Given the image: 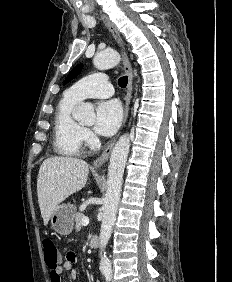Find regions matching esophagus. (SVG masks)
<instances>
[{"mask_svg": "<svg viewBox=\"0 0 232 282\" xmlns=\"http://www.w3.org/2000/svg\"><path fill=\"white\" fill-rule=\"evenodd\" d=\"M101 18L105 25L108 27V29L112 32L113 36L119 43L121 47V53H122V59H123V64H124V70L128 76V82H127V92L125 96V106H124V120H123V126L126 123V120L128 118V113H129V105H130V100L132 96V81H133V72H132V66L131 62L129 60V57L126 53L125 50V42L123 40L122 35L120 34L119 30L115 26L114 23H112L109 18L105 15H101ZM117 137L114 138L109 145L106 147V149L103 151V153L94 161L93 166L94 167H100L102 166L109 158L111 151L113 149V146L115 144Z\"/></svg>", "mask_w": 232, "mask_h": 282, "instance_id": "1", "label": "esophagus"}]
</instances>
